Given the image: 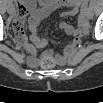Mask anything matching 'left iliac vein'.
Returning a JSON list of instances; mask_svg holds the SVG:
<instances>
[{
  "instance_id": "1",
  "label": "left iliac vein",
  "mask_w": 103,
  "mask_h": 103,
  "mask_svg": "<svg viewBox=\"0 0 103 103\" xmlns=\"http://www.w3.org/2000/svg\"><path fill=\"white\" fill-rule=\"evenodd\" d=\"M88 17L89 18H92L93 17V12L91 9L88 10Z\"/></svg>"
}]
</instances>
